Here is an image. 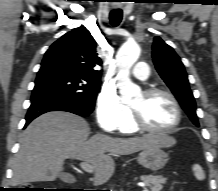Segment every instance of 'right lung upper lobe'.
I'll return each instance as SVG.
<instances>
[{"instance_id":"right-lung-upper-lobe-1","label":"right lung upper lobe","mask_w":218,"mask_h":191,"mask_svg":"<svg viewBox=\"0 0 218 191\" xmlns=\"http://www.w3.org/2000/svg\"><path fill=\"white\" fill-rule=\"evenodd\" d=\"M43 60L60 62L100 82L102 62L96 51V42L83 27L73 29L54 42Z\"/></svg>"}]
</instances>
